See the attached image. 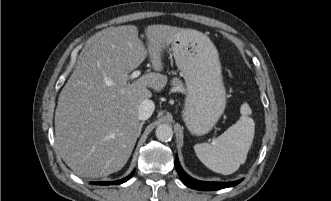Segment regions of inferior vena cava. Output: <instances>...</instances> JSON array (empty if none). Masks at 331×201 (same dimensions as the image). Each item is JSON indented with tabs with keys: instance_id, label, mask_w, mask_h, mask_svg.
<instances>
[{
	"instance_id": "602c4592",
	"label": "inferior vena cava",
	"mask_w": 331,
	"mask_h": 201,
	"mask_svg": "<svg viewBox=\"0 0 331 201\" xmlns=\"http://www.w3.org/2000/svg\"><path fill=\"white\" fill-rule=\"evenodd\" d=\"M155 105L152 100L145 99L139 106L138 116L140 120H147L154 111Z\"/></svg>"
}]
</instances>
